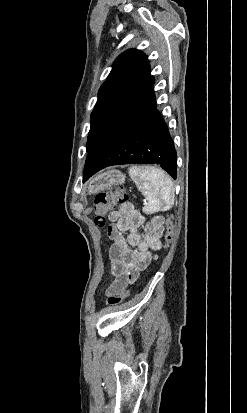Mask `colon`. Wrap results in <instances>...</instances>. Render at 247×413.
Segmentation results:
<instances>
[{
    "label": "colon",
    "mask_w": 247,
    "mask_h": 413,
    "mask_svg": "<svg viewBox=\"0 0 247 413\" xmlns=\"http://www.w3.org/2000/svg\"><path fill=\"white\" fill-rule=\"evenodd\" d=\"M126 199V195L124 194V191L122 188L118 189L116 192H111V191H104L100 192L96 195L95 197V203H94V221L97 227H104L106 225V217L105 214L108 211L109 208H112L116 206L117 204L122 203ZM126 205L130 204L129 200L125 201ZM173 228H174V221L173 219L169 218L166 220V229L164 233V240L162 243V247L164 249H167L169 247L171 238H172V233H173ZM114 240V239H112ZM129 295V292L127 290V293H121L120 298H107L106 304L109 307H117L120 305V303L127 298Z\"/></svg>",
    "instance_id": "1"
}]
</instances>
